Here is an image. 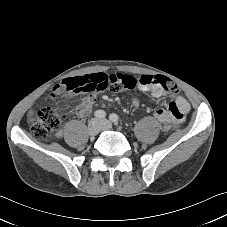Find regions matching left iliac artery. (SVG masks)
<instances>
[{"label":"left iliac artery","mask_w":227,"mask_h":227,"mask_svg":"<svg viewBox=\"0 0 227 227\" xmlns=\"http://www.w3.org/2000/svg\"><path fill=\"white\" fill-rule=\"evenodd\" d=\"M109 119L114 123H118L119 117L117 114L112 113V114H110Z\"/></svg>","instance_id":"1"}]
</instances>
